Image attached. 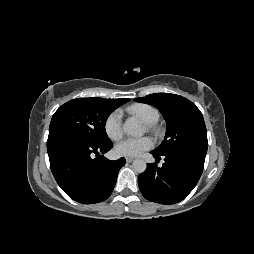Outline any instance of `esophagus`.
<instances>
[{
    "instance_id": "1",
    "label": "esophagus",
    "mask_w": 254,
    "mask_h": 254,
    "mask_svg": "<svg viewBox=\"0 0 254 254\" xmlns=\"http://www.w3.org/2000/svg\"><path fill=\"white\" fill-rule=\"evenodd\" d=\"M132 161H134V158H132V157H126V162L131 163Z\"/></svg>"
}]
</instances>
